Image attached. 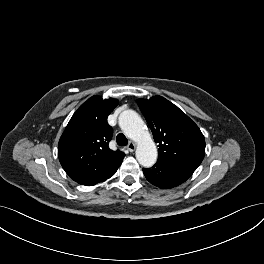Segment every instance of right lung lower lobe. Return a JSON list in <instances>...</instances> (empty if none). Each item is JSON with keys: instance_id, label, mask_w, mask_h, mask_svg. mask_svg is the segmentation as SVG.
Returning <instances> with one entry per match:
<instances>
[{"instance_id": "98d812e1", "label": "right lung lower lobe", "mask_w": 264, "mask_h": 264, "mask_svg": "<svg viewBox=\"0 0 264 264\" xmlns=\"http://www.w3.org/2000/svg\"><path fill=\"white\" fill-rule=\"evenodd\" d=\"M121 163L117 164L115 167H113L110 171H108L106 174H104L100 178L96 179L95 181H93L89 184H86V186H93L99 182H103V181L107 180L108 178H110L111 176H113L115 174V172L117 171V169L121 165Z\"/></svg>"}]
</instances>
